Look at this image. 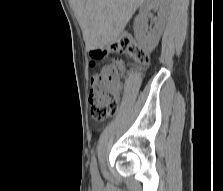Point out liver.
I'll return each instance as SVG.
<instances>
[{"label":"liver","instance_id":"6515ba94","mask_svg":"<svg viewBox=\"0 0 223 191\" xmlns=\"http://www.w3.org/2000/svg\"><path fill=\"white\" fill-rule=\"evenodd\" d=\"M144 0H71L87 49L115 42Z\"/></svg>","mask_w":223,"mask_h":191}]
</instances>
